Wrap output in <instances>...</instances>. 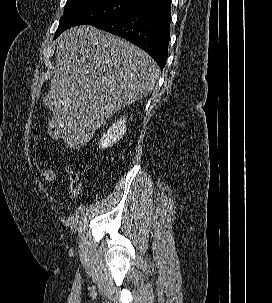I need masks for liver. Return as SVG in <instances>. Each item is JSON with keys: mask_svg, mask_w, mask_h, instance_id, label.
I'll return each instance as SVG.
<instances>
[{"mask_svg": "<svg viewBox=\"0 0 272 303\" xmlns=\"http://www.w3.org/2000/svg\"><path fill=\"white\" fill-rule=\"evenodd\" d=\"M55 69L43 104L71 149L88 142L112 115L152 92L160 69L145 51L89 25L56 40Z\"/></svg>", "mask_w": 272, "mask_h": 303, "instance_id": "6515ba94", "label": "liver"}]
</instances>
